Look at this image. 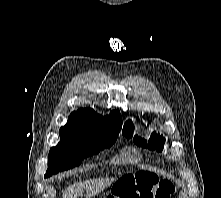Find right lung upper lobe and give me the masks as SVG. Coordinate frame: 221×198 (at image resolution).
<instances>
[{
  "label": "right lung upper lobe",
  "mask_w": 221,
  "mask_h": 198,
  "mask_svg": "<svg viewBox=\"0 0 221 198\" xmlns=\"http://www.w3.org/2000/svg\"><path fill=\"white\" fill-rule=\"evenodd\" d=\"M122 127L121 115L114 110L102 117L93 109L84 108L72 112L67 124L60 128V136H88L98 131H118Z\"/></svg>",
  "instance_id": "1"
}]
</instances>
